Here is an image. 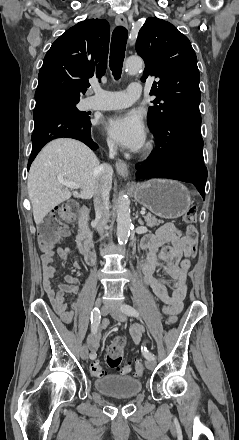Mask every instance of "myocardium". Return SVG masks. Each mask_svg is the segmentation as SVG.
Instances as JSON below:
<instances>
[{
    "mask_svg": "<svg viewBox=\"0 0 239 440\" xmlns=\"http://www.w3.org/2000/svg\"><path fill=\"white\" fill-rule=\"evenodd\" d=\"M154 148H155L154 143H153V142H149V143L145 146V148H144L143 156L146 157V156L151 155L152 152L154 151Z\"/></svg>",
    "mask_w": 239,
    "mask_h": 440,
    "instance_id": "obj_1",
    "label": "myocardium"
}]
</instances>
